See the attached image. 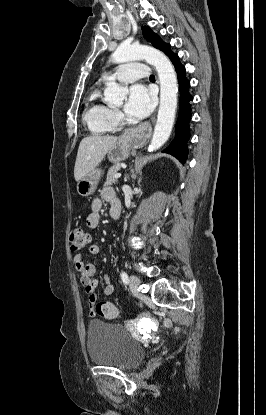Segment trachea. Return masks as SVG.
Wrapping results in <instances>:
<instances>
[{"instance_id": "obj_1", "label": "trachea", "mask_w": 266, "mask_h": 415, "mask_svg": "<svg viewBox=\"0 0 266 415\" xmlns=\"http://www.w3.org/2000/svg\"><path fill=\"white\" fill-rule=\"evenodd\" d=\"M150 79H155V76H154V75H151V76H150Z\"/></svg>"}]
</instances>
